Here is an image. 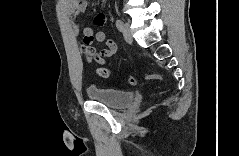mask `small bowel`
<instances>
[{
    "mask_svg": "<svg viewBox=\"0 0 239 156\" xmlns=\"http://www.w3.org/2000/svg\"><path fill=\"white\" fill-rule=\"evenodd\" d=\"M64 6L74 35L78 36L80 33L83 35L81 51L89 61H96L103 64L107 58L116 54L118 49L117 44L113 39L108 38L103 30H95L91 26L81 27L79 16L87 9L88 3L86 0H66L64 1ZM104 7L105 5H103ZM105 21L103 13H100L94 19V23L97 26H103ZM94 42H104L106 47L97 51L93 46Z\"/></svg>",
    "mask_w": 239,
    "mask_h": 156,
    "instance_id": "1",
    "label": "small bowel"
}]
</instances>
